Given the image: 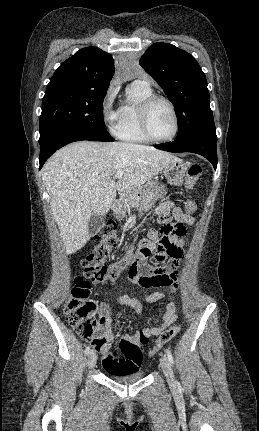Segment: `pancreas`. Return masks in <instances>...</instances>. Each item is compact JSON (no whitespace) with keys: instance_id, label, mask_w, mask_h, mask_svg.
I'll list each match as a JSON object with an SVG mask.
<instances>
[{"instance_id":"1","label":"pancreas","mask_w":259,"mask_h":431,"mask_svg":"<svg viewBox=\"0 0 259 431\" xmlns=\"http://www.w3.org/2000/svg\"><path fill=\"white\" fill-rule=\"evenodd\" d=\"M136 197H137V193H134V194L128 196L127 198H125L121 201V204L119 205V207L116 210V218L117 219H122L126 216L125 215L126 212L130 211V208H131V205L129 203L132 202V200H135Z\"/></svg>"}]
</instances>
